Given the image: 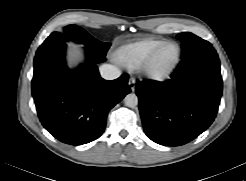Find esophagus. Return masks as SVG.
<instances>
[{
  "instance_id": "esophagus-1",
  "label": "esophagus",
  "mask_w": 246,
  "mask_h": 181,
  "mask_svg": "<svg viewBox=\"0 0 246 181\" xmlns=\"http://www.w3.org/2000/svg\"><path fill=\"white\" fill-rule=\"evenodd\" d=\"M128 85L130 86V89L134 91L135 89V79L134 78H129Z\"/></svg>"
}]
</instances>
